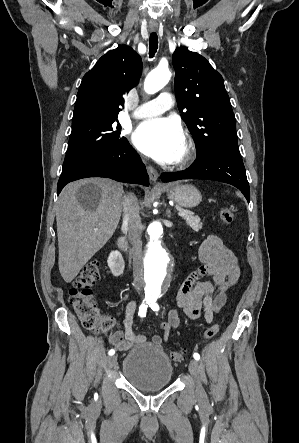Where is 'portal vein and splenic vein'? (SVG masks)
Returning a JSON list of instances; mask_svg holds the SVG:
<instances>
[{
  "label": "portal vein and splenic vein",
  "mask_w": 299,
  "mask_h": 443,
  "mask_svg": "<svg viewBox=\"0 0 299 443\" xmlns=\"http://www.w3.org/2000/svg\"><path fill=\"white\" fill-rule=\"evenodd\" d=\"M178 215H179L180 217H184L186 214H185L184 212H182V211H179Z\"/></svg>",
  "instance_id": "obj_1"
}]
</instances>
